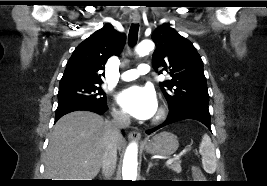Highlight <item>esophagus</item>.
I'll return each mask as SVG.
<instances>
[{"instance_id":"esophagus-1","label":"esophagus","mask_w":267,"mask_h":186,"mask_svg":"<svg viewBox=\"0 0 267 186\" xmlns=\"http://www.w3.org/2000/svg\"><path fill=\"white\" fill-rule=\"evenodd\" d=\"M133 23L137 24L140 22V15H133L132 17ZM128 138L130 140H140L141 134L138 131H131L128 134Z\"/></svg>"}]
</instances>
